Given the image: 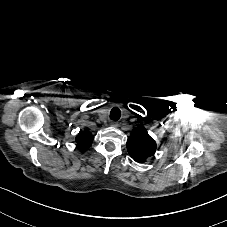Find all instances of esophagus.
I'll return each mask as SVG.
<instances>
[{
	"label": "esophagus",
	"instance_id": "34e87169",
	"mask_svg": "<svg viewBox=\"0 0 227 227\" xmlns=\"http://www.w3.org/2000/svg\"><path fill=\"white\" fill-rule=\"evenodd\" d=\"M109 126H110V128L115 129V128H117L118 123H117V121L112 120V121H110Z\"/></svg>",
	"mask_w": 227,
	"mask_h": 227
}]
</instances>
